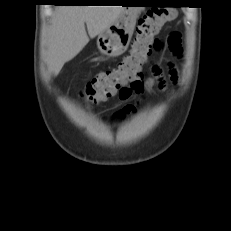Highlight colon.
<instances>
[{
	"mask_svg": "<svg viewBox=\"0 0 231 231\" xmlns=\"http://www.w3.org/2000/svg\"><path fill=\"white\" fill-rule=\"evenodd\" d=\"M176 15L173 9L156 7L139 20L131 49L114 67L98 73L82 91L89 104H96L116 94L125 85L143 80V65L153 52L161 51L164 43L156 37L162 26Z\"/></svg>",
	"mask_w": 231,
	"mask_h": 231,
	"instance_id": "5ec220e1",
	"label": "colon"
}]
</instances>
